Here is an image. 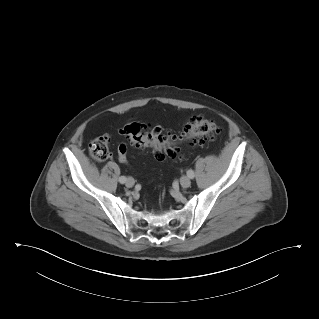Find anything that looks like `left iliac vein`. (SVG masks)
<instances>
[{
  "label": "left iliac vein",
  "mask_w": 319,
  "mask_h": 319,
  "mask_svg": "<svg viewBox=\"0 0 319 319\" xmlns=\"http://www.w3.org/2000/svg\"><path fill=\"white\" fill-rule=\"evenodd\" d=\"M180 183H181V186L183 188H188L191 184V181L189 179V177L187 176H182L181 179H180Z\"/></svg>",
  "instance_id": "obj_1"
}]
</instances>
